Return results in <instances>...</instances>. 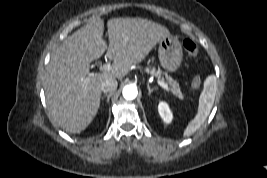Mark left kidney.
I'll use <instances>...</instances> for the list:
<instances>
[{"label": "left kidney", "mask_w": 267, "mask_h": 178, "mask_svg": "<svg viewBox=\"0 0 267 178\" xmlns=\"http://www.w3.org/2000/svg\"><path fill=\"white\" fill-rule=\"evenodd\" d=\"M158 112L165 123H171L173 119L172 112L168 104L164 101L159 102Z\"/></svg>", "instance_id": "left-kidney-1"}]
</instances>
